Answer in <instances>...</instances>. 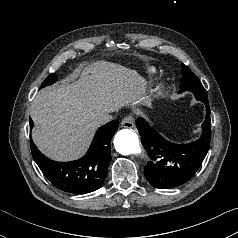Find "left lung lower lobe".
Returning a JSON list of instances; mask_svg holds the SVG:
<instances>
[{"label": "left lung lower lobe", "mask_w": 238, "mask_h": 238, "mask_svg": "<svg viewBox=\"0 0 238 238\" xmlns=\"http://www.w3.org/2000/svg\"><path fill=\"white\" fill-rule=\"evenodd\" d=\"M201 137L188 144H175L162 137L143 119L136 120L141 143L150 162L144 169L146 179L156 188L168 189L189 181L201 166L210 145L211 120L208 101Z\"/></svg>", "instance_id": "left-lung-lower-lobe-1"}]
</instances>
